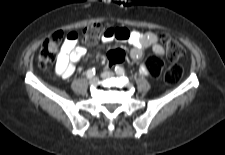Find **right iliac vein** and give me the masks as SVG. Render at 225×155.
Instances as JSON below:
<instances>
[{"label": "right iliac vein", "mask_w": 225, "mask_h": 155, "mask_svg": "<svg viewBox=\"0 0 225 155\" xmlns=\"http://www.w3.org/2000/svg\"><path fill=\"white\" fill-rule=\"evenodd\" d=\"M97 81H98V78H97V77H92V78L89 80V83L92 85V84L97 83Z\"/></svg>", "instance_id": "1"}]
</instances>
